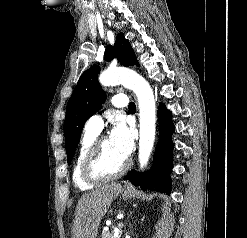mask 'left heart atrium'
I'll list each match as a JSON object with an SVG mask.
<instances>
[{"label": "left heart atrium", "instance_id": "left-heart-atrium-1", "mask_svg": "<svg viewBox=\"0 0 247 238\" xmlns=\"http://www.w3.org/2000/svg\"><path fill=\"white\" fill-rule=\"evenodd\" d=\"M109 141L114 149L123 157L127 158L134 147L133 133L123 121H117L113 127Z\"/></svg>", "mask_w": 247, "mask_h": 238}]
</instances>
